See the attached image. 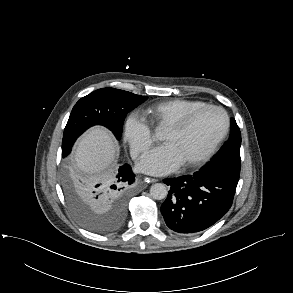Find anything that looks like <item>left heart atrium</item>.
<instances>
[{
    "label": "left heart atrium",
    "instance_id": "left-heart-atrium-1",
    "mask_svg": "<svg viewBox=\"0 0 293 293\" xmlns=\"http://www.w3.org/2000/svg\"><path fill=\"white\" fill-rule=\"evenodd\" d=\"M182 165L171 145L165 144L147 153L139 164V169L154 175L170 173Z\"/></svg>",
    "mask_w": 293,
    "mask_h": 293
}]
</instances>
